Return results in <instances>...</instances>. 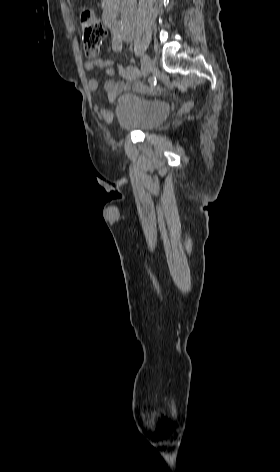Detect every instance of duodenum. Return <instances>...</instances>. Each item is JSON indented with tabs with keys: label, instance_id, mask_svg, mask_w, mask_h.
Listing matches in <instances>:
<instances>
[{
	"label": "duodenum",
	"instance_id": "1",
	"mask_svg": "<svg viewBox=\"0 0 280 472\" xmlns=\"http://www.w3.org/2000/svg\"><path fill=\"white\" fill-rule=\"evenodd\" d=\"M121 0H109L108 5L105 8L103 19L107 26L113 27L116 23V19L120 10Z\"/></svg>",
	"mask_w": 280,
	"mask_h": 472
}]
</instances>
